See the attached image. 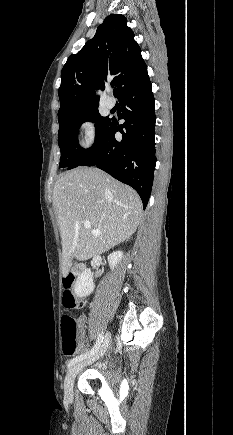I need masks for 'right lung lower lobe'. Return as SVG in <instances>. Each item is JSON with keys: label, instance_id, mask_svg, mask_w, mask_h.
I'll return each mask as SVG.
<instances>
[{"label": "right lung lower lobe", "instance_id": "right-lung-lower-lobe-1", "mask_svg": "<svg viewBox=\"0 0 233 435\" xmlns=\"http://www.w3.org/2000/svg\"><path fill=\"white\" fill-rule=\"evenodd\" d=\"M123 108L119 125L111 119L104 136L79 166H97L117 180L130 185L147 206L156 165L154 96L148 73L123 87L119 96ZM121 132V141L115 133Z\"/></svg>", "mask_w": 233, "mask_h": 435}]
</instances>
